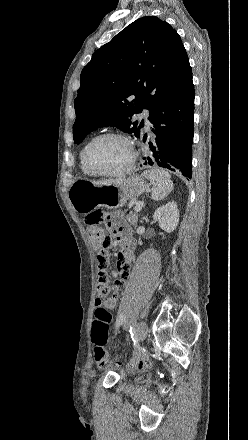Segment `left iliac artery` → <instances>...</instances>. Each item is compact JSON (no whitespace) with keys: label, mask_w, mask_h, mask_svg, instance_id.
Here are the masks:
<instances>
[{"label":"left iliac artery","mask_w":248,"mask_h":440,"mask_svg":"<svg viewBox=\"0 0 248 440\" xmlns=\"http://www.w3.org/2000/svg\"><path fill=\"white\" fill-rule=\"evenodd\" d=\"M134 329H133V327H130V333H131V336H132V338H133V335H134ZM134 341V340H133ZM135 342V341H134Z\"/></svg>","instance_id":"left-iliac-artery-1"}]
</instances>
